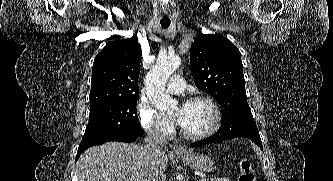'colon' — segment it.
I'll return each mask as SVG.
<instances>
[{
	"label": "colon",
	"instance_id": "5ec220e1",
	"mask_svg": "<svg viewBox=\"0 0 333 181\" xmlns=\"http://www.w3.org/2000/svg\"><path fill=\"white\" fill-rule=\"evenodd\" d=\"M239 181H256V175L251 161L248 158H241L238 162Z\"/></svg>",
	"mask_w": 333,
	"mask_h": 181
}]
</instances>
